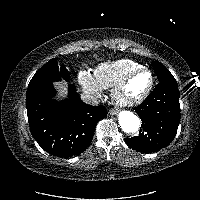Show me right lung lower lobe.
<instances>
[{
	"label": "right lung lower lobe",
	"mask_w": 200,
	"mask_h": 200,
	"mask_svg": "<svg viewBox=\"0 0 200 200\" xmlns=\"http://www.w3.org/2000/svg\"><path fill=\"white\" fill-rule=\"evenodd\" d=\"M54 94L52 82L28 87L26 107L31 134L51 155H78L89 146L95 127L107 110L85 104L72 84L67 99L57 102L52 99Z\"/></svg>",
	"instance_id": "1"
}]
</instances>
